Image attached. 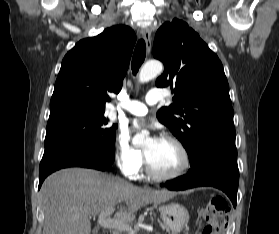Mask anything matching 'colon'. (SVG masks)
Wrapping results in <instances>:
<instances>
[{"label": "colon", "mask_w": 279, "mask_h": 234, "mask_svg": "<svg viewBox=\"0 0 279 234\" xmlns=\"http://www.w3.org/2000/svg\"><path fill=\"white\" fill-rule=\"evenodd\" d=\"M229 211V206L223 197L211 198L199 213L200 219L205 222L202 234H225Z\"/></svg>", "instance_id": "colon-1"}]
</instances>
